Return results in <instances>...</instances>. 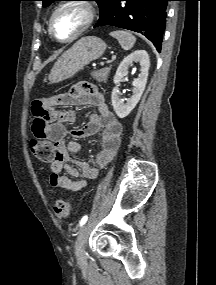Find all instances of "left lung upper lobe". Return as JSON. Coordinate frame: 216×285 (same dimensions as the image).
I'll return each instance as SVG.
<instances>
[{
    "label": "left lung upper lobe",
    "instance_id": "obj_1",
    "mask_svg": "<svg viewBox=\"0 0 216 285\" xmlns=\"http://www.w3.org/2000/svg\"><path fill=\"white\" fill-rule=\"evenodd\" d=\"M41 1L43 2V7H47L53 1H58V0H41ZM92 1H96L98 3L100 8V18H102L109 11L114 0H92Z\"/></svg>",
    "mask_w": 216,
    "mask_h": 285
}]
</instances>
